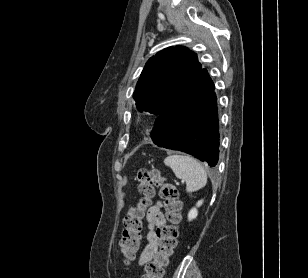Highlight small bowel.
<instances>
[{
	"instance_id": "1",
	"label": "small bowel",
	"mask_w": 308,
	"mask_h": 278,
	"mask_svg": "<svg viewBox=\"0 0 308 278\" xmlns=\"http://www.w3.org/2000/svg\"><path fill=\"white\" fill-rule=\"evenodd\" d=\"M161 207V202H157L155 205L150 207L147 212V244L138 259V263L141 266L146 265V263L152 259L153 254L158 249L156 229L165 224V215L161 211Z\"/></svg>"
}]
</instances>
